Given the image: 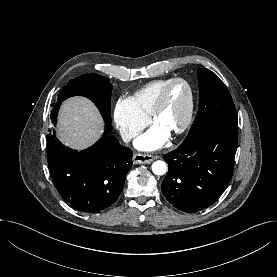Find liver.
Here are the masks:
<instances>
[{
  "instance_id": "liver-1",
  "label": "liver",
  "mask_w": 277,
  "mask_h": 277,
  "mask_svg": "<svg viewBox=\"0 0 277 277\" xmlns=\"http://www.w3.org/2000/svg\"><path fill=\"white\" fill-rule=\"evenodd\" d=\"M57 127L60 141L74 149H85L103 132L104 121L96 106L87 98L73 97L61 107Z\"/></svg>"
}]
</instances>
